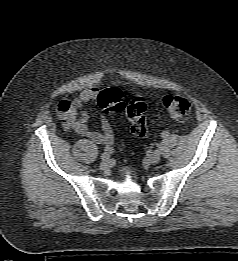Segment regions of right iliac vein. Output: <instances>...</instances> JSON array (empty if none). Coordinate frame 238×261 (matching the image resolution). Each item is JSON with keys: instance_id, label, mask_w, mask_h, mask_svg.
Returning a JSON list of instances; mask_svg holds the SVG:
<instances>
[{"instance_id": "obj_1", "label": "right iliac vein", "mask_w": 238, "mask_h": 261, "mask_svg": "<svg viewBox=\"0 0 238 261\" xmlns=\"http://www.w3.org/2000/svg\"><path fill=\"white\" fill-rule=\"evenodd\" d=\"M109 155L107 153H102L101 154V160L105 163V162H108L109 161Z\"/></svg>"}]
</instances>
